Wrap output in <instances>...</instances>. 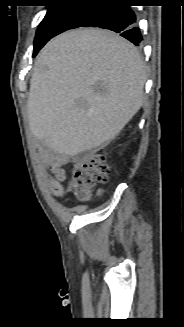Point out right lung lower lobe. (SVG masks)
I'll return each instance as SVG.
<instances>
[{
	"mask_svg": "<svg viewBox=\"0 0 184 327\" xmlns=\"http://www.w3.org/2000/svg\"><path fill=\"white\" fill-rule=\"evenodd\" d=\"M123 0H99L88 7L84 15L71 27H98L120 33L136 46L142 40L136 27V16L130 6L121 4Z\"/></svg>",
	"mask_w": 184,
	"mask_h": 327,
	"instance_id": "right-lung-lower-lobe-1",
	"label": "right lung lower lobe"
}]
</instances>
